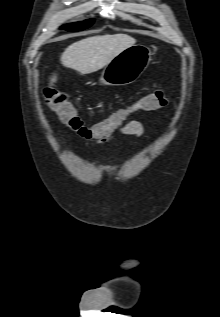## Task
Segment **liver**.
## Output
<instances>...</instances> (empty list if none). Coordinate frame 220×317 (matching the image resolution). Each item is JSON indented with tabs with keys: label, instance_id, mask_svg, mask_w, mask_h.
<instances>
[{
	"label": "liver",
	"instance_id": "liver-1",
	"mask_svg": "<svg viewBox=\"0 0 220 317\" xmlns=\"http://www.w3.org/2000/svg\"><path fill=\"white\" fill-rule=\"evenodd\" d=\"M136 40L126 34L93 36L71 44L61 55V63L81 74H89L106 66L114 57ZM56 76L51 78V84Z\"/></svg>",
	"mask_w": 220,
	"mask_h": 317
}]
</instances>
